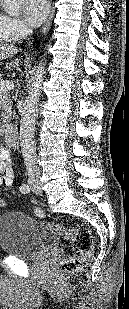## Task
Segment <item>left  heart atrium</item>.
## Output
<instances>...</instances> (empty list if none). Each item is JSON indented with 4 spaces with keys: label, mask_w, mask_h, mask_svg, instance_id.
<instances>
[{
    "label": "left heart atrium",
    "mask_w": 129,
    "mask_h": 309,
    "mask_svg": "<svg viewBox=\"0 0 129 309\" xmlns=\"http://www.w3.org/2000/svg\"><path fill=\"white\" fill-rule=\"evenodd\" d=\"M48 0H25L24 2V16L31 26L40 25L49 13Z\"/></svg>",
    "instance_id": "39dd6f15"
}]
</instances>
